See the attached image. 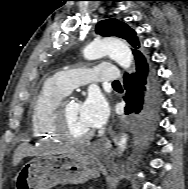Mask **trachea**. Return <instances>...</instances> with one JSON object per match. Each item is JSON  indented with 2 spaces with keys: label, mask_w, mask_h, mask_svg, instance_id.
<instances>
[{
  "label": "trachea",
  "mask_w": 188,
  "mask_h": 189,
  "mask_svg": "<svg viewBox=\"0 0 188 189\" xmlns=\"http://www.w3.org/2000/svg\"><path fill=\"white\" fill-rule=\"evenodd\" d=\"M120 84L119 81H114L113 85Z\"/></svg>",
  "instance_id": "1"
}]
</instances>
